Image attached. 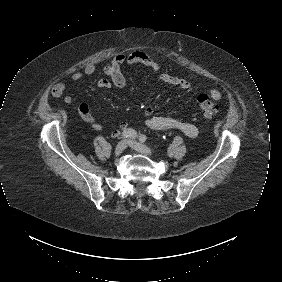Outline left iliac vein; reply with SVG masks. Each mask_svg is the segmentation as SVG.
I'll list each match as a JSON object with an SVG mask.
<instances>
[{
    "instance_id": "1",
    "label": "left iliac vein",
    "mask_w": 282,
    "mask_h": 282,
    "mask_svg": "<svg viewBox=\"0 0 282 282\" xmlns=\"http://www.w3.org/2000/svg\"><path fill=\"white\" fill-rule=\"evenodd\" d=\"M130 147H132L135 151L147 155V156H151L153 154L152 150L147 147L146 145H143L141 143H138L136 141H130L129 142Z\"/></svg>"
}]
</instances>
